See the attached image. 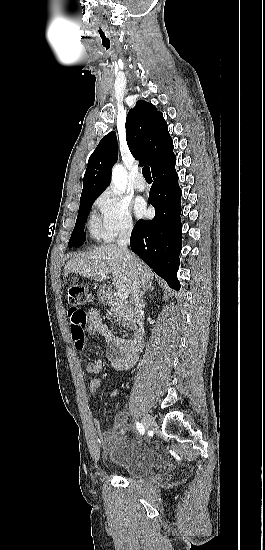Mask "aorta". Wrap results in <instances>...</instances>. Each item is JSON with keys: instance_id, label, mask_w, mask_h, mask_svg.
Segmentation results:
<instances>
[{"instance_id": "1", "label": "aorta", "mask_w": 265, "mask_h": 550, "mask_svg": "<svg viewBox=\"0 0 265 550\" xmlns=\"http://www.w3.org/2000/svg\"><path fill=\"white\" fill-rule=\"evenodd\" d=\"M112 184L115 192L124 193L127 185V172L121 165L114 166L112 170Z\"/></svg>"}]
</instances>
